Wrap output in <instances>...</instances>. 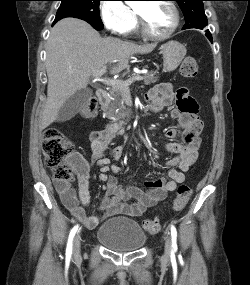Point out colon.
<instances>
[{
    "label": "colon",
    "instance_id": "5ec220e1",
    "mask_svg": "<svg viewBox=\"0 0 250 285\" xmlns=\"http://www.w3.org/2000/svg\"><path fill=\"white\" fill-rule=\"evenodd\" d=\"M198 73V64L193 57H186L180 65V74L185 78H193ZM97 112V104L90 99L81 109V115L85 118H93ZM73 151V143L61 131L49 129L43 138V155L45 164L52 169L53 177L60 182H69L73 179L70 158ZM192 195L190 186L183 184L177 189V195L173 201L175 211L182 210ZM143 228L151 233H158L160 224L157 220L145 219Z\"/></svg>",
    "mask_w": 250,
    "mask_h": 285
}]
</instances>
